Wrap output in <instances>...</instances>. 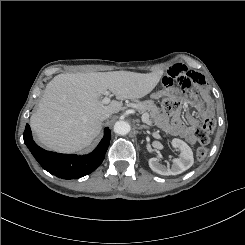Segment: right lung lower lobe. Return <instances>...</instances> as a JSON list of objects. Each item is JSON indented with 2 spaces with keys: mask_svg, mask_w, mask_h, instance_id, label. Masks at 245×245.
Wrapping results in <instances>:
<instances>
[{
  "mask_svg": "<svg viewBox=\"0 0 245 245\" xmlns=\"http://www.w3.org/2000/svg\"><path fill=\"white\" fill-rule=\"evenodd\" d=\"M111 131L105 128V134L96 149L88 155L60 154L46 151L32 139L30 126L27 124L24 143L43 169L62 179H78L93 172L104 160L110 143Z\"/></svg>",
  "mask_w": 245,
  "mask_h": 245,
  "instance_id": "98d812e1",
  "label": "right lung lower lobe"
}]
</instances>
